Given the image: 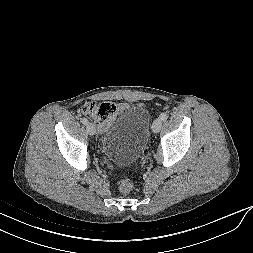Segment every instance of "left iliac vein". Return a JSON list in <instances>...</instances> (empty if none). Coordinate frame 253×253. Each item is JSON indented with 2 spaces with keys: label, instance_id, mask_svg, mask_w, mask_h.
<instances>
[{
  "label": "left iliac vein",
  "instance_id": "obj_1",
  "mask_svg": "<svg viewBox=\"0 0 253 253\" xmlns=\"http://www.w3.org/2000/svg\"><path fill=\"white\" fill-rule=\"evenodd\" d=\"M162 127V120L160 118H157L152 125V131L154 133H158Z\"/></svg>",
  "mask_w": 253,
  "mask_h": 253
}]
</instances>
